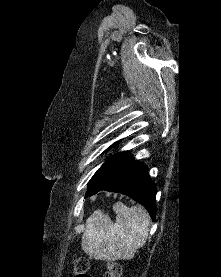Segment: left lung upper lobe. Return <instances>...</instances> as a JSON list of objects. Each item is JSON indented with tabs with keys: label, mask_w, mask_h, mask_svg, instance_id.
<instances>
[{
	"label": "left lung upper lobe",
	"mask_w": 221,
	"mask_h": 277,
	"mask_svg": "<svg viewBox=\"0 0 221 277\" xmlns=\"http://www.w3.org/2000/svg\"><path fill=\"white\" fill-rule=\"evenodd\" d=\"M120 141L112 144L107 150L115 147ZM133 159L128 152H121L113 155L98 169V171L91 178L89 185L97 184L100 181L114 176L121 169H123L127 164H129Z\"/></svg>",
	"instance_id": "5c2ea615"
}]
</instances>
